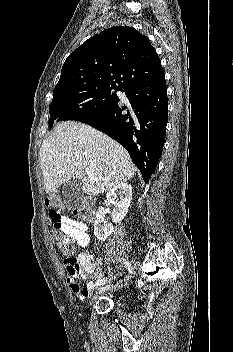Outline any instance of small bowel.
Masks as SVG:
<instances>
[{
  "label": "small bowel",
  "instance_id": "1",
  "mask_svg": "<svg viewBox=\"0 0 233 352\" xmlns=\"http://www.w3.org/2000/svg\"><path fill=\"white\" fill-rule=\"evenodd\" d=\"M49 218L55 229L70 237L78 246L81 248L89 246L90 236L85 223L63 217L54 209L49 210ZM101 263V259L96 260L91 253L86 251L81 252L77 257H68L63 261L67 271L66 282L74 296L85 299L95 288L107 281L98 267ZM81 279H88L83 287L79 285Z\"/></svg>",
  "mask_w": 233,
  "mask_h": 352
}]
</instances>
